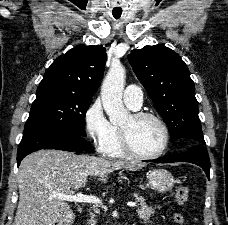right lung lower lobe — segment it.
Listing matches in <instances>:
<instances>
[{"mask_svg":"<svg viewBox=\"0 0 228 225\" xmlns=\"http://www.w3.org/2000/svg\"><path fill=\"white\" fill-rule=\"evenodd\" d=\"M40 149L87 151L88 146L83 136L63 128L43 126L25 129L18 147V166L26 155Z\"/></svg>","mask_w":228,"mask_h":225,"instance_id":"right-lung-lower-lobe-1","label":"right lung lower lobe"}]
</instances>
